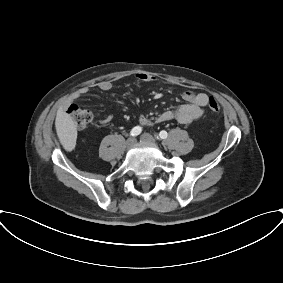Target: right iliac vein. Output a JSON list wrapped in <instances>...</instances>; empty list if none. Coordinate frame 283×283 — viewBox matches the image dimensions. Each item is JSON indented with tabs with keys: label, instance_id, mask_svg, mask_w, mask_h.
<instances>
[{
	"label": "right iliac vein",
	"instance_id": "63e3f726",
	"mask_svg": "<svg viewBox=\"0 0 283 283\" xmlns=\"http://www.w3.org/2000/svg\"><path fill=\"white\" fill-rule=\"evenodd\" d=\"M135 143V139L134 138H128L126 141V146L129 148L131 146H133Z\"/></svg>",
	"mask_w": 283,
	"mask_h": 283
}]
</instances>
